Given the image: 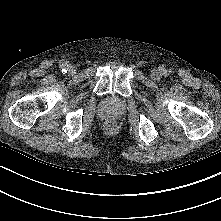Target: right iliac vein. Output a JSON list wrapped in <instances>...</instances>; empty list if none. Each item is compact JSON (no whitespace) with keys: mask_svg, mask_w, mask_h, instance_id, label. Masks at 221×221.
<instances>
[{"mask_svg":"<svg viewBox=\"0 0 221 221\" xmlns=\"http://www.w3.org/2000/svg\"><path fill=\"white\" fill-rule=\"evenodd\" d=\"M69 72H70L71 74H74V73L76 72V67L73 66V65L69 66Z\"/></svg>","mask_w":221,"mask_h":221,"instance_id":"1","label":"right iliac vein"}]
</instances>
